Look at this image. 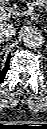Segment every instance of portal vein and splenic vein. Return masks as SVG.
<instances>
[{
    "label": "portal vein and splenic vein",
    "mask_w": 47,
    "mask_h": 129,
    "mask_svg": "<svg viewBox=\"0 0 47 129\" xmlns=\"http://www.w3.org/2000/svg\"><path fill=\"white\" fill-rule=\"evenodd\" d=\"M1 15H2L3 17H6V16H7V15H6L5 13H3V12L1 13Z\"/></svg>",
    "instance_id": "18ae733b"
}]
</instances>
